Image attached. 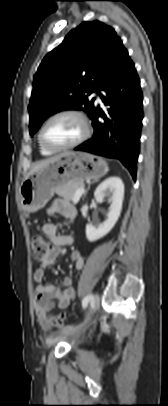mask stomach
Instances as JSON below:
<instances>
[{
	"mask_svg": "<svg viewBox=\"0 0 168 406\" xmlns=\"http://www.w3.org/2000/svg\"><path fill=\"white\" fill-rule=\"evenodd\" d=\"M108 172L107 164L85 152H66L50 166L27 176L20 187L21 206L35 212L45 206L54 192L73 183L97 180Z\"/></svg>",
	"mask_w": 168,
	"mask_h": 406,
	"instance_id": "obj_1",
	"label": "stomach"
}]
</instances>
